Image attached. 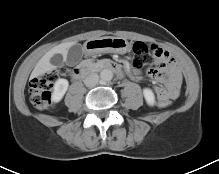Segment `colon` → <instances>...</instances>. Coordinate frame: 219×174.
Returning a JSON list of instances; mask_svg holds the SVG:
<instances>
[{
	"instance_id": "1",
	"label": "colon",
	"mask_w": 219,
	"mask_h": 174,
	"mask_svg": "<svg viewBox=\"0 0 219 174\" xmlns=\"http://www.w3.org/2000/svg\"><path fill=\"white\" fill-rule=\"evenodd\" d=\"M154 52L147 44L143 42H136L132 47V54L130 57L131 63L135 68H142L150 65L154 61ZM66 69L60 68L45 72L37 77H34L29 82V96L32 105L44 110L52 106L51 89L54 83L63 75ZM157 105L160 108H167L170 101L167 99L157 98Z\"/></svg>"
}]
</instances>
